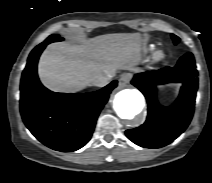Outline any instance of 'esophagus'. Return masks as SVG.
Returning a JSON list of instances; mask_svg holds the SVG:
<instances>
[{"label": "esophagus", "mask_w": 212, "mask_h": 183, "mask_svg": "<svg viewBox=\"0 0 212 183\" xmlns=\"http://www.w3.org/2000/svg\"><path fill=\"white\" fill-rule=\"evenodd\" d=\"M129 83V76L124 75L119 79V87L124 88Z\"/></svg>", "instance_id": "1"}]
</instances>
